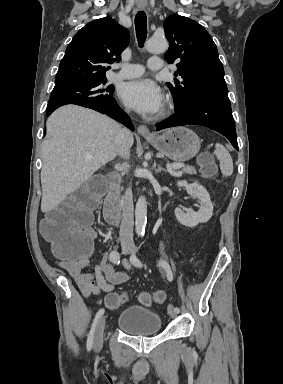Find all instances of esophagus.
<instances>
[{
	"instance_id": "esophagus-1",
	"label": "esophagus",
	"mask_w": 283,
	"mask_h": 384,
	"mask_svg": "<svg viewBox=\"0 0 283 384\" xmlns=\"http://www.w3.org/2000/svg\"><path fill=\"white\" fill-rule=\"evenodd\" d=\"M141 10H143V6H139ZM138 134L142 135L143 137H149L154 138V134L150 132L149 128L146 125H139L137 128Z\"/></svg>"
}]
</instances>
